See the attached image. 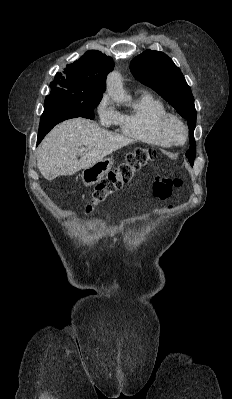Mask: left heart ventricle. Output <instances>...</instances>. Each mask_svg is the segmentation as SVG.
Wrapping results in <instances>:
<instances>
[{
	"mask_svg": "<svg viewBox=\"0 0 232 399\" xmlns=\"http://www.w3.org/2000/svg\"><path fill=\"white\" fill-rule=\"evenodd\" d=\"M168 131L171 136L178 142H182L185 138V133L181 125L175 121H170L168 123Z\"/></svg>",
	"mask_w": 232,
	"mask_h": 399,
	"instance_id": "b2bd125f",
	"label": "left heart ventricle"
}]
</instances>
